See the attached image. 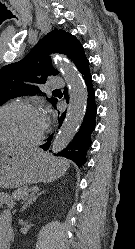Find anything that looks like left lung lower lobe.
Segmentation results:
<instances>
[{"instance_id":"obj_1","label":"left lung lower lobe","mask_w":135,"mask_h":249,"mask_svg":"<svg viewBox=\"0 0 135 249\" xmlns=\"http://www.w3.org/2000/svg\"><path fill=\"white\" fill-rule=\"evenodd\" d=\"M82 78L87 87V105L86 112L83 118L82 125L73 138L72 142L64 148L58 155L66 157L74 161L79 167L83 166L86 162V153L91 146V135L96 126V114L97 105L95 102V90L92 84V75L89 69V63H87L80 72ZM65 98L68 102L67 89L64 90ZM57 103V102H56ZM56 105V104H55ZM54 105V107H55ZM65 118V112L59 118V127L61 126ZM52 137L48 138V141L40 147L44 150H48L51 144Z\"/></svg>"}]
</instances>
